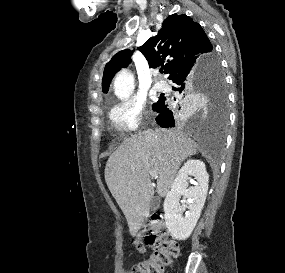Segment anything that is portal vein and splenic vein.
I'll use <instances>...</instances> for the list:
<instances>
[{"mask_svg":"<svg viewBox=\"0 0 285 273\" xmlns=\"http://www.w3.org/2000/svg\"><path fill=\"white\" fill-rule=\"evenodd\" d=\"M150 176H151L152 178H158V173H157V171H155V170L150 171Z\"/></svg>","mask_w":285,"mask_h":273,"instance_id":"obj_1","label":"portal vein and splenic vein"}]
</instances>
